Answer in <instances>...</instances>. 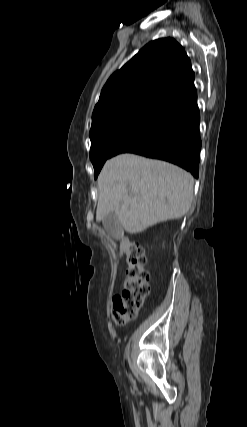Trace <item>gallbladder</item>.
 <instances>
[{"label": "gallbladder", "instance_id": "bac80fb5", "mask_svg": "<svg viewBox=\"0 0 247 427\" xmlns=\"http://www.w3.org/2000/svg\"><path fill=\"white\" fill-rule=\"evenodd\" d=\"M106 232L113 238L119 239L123 236L121 222L114 212L106 214L102 219Z\"/></svg>", "mask_w": 247, "mask_h": 427}]
</instances>
